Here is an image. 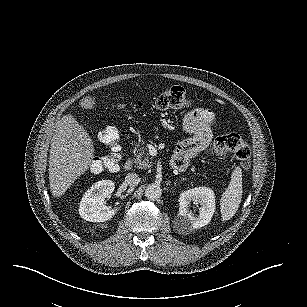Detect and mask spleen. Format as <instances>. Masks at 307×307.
Masks as SVG:
<instances>
[{
    "label": "spleen",
    "instance_id": "1",
    "mask_svg": "<svg viewBox=\"0 0 307 307\" xmlns=\"http://www.w3.org/2000/svg\"><path fill=\"white\" fill-rule=\"evenodd\" d=\"M242 169L237 166L231 174V180L220 199L222 221L230 220L237 212L242 200Z\"/></svg>",
    "mask_w": 307,
    "mask_h": 307
}]
</instances>
